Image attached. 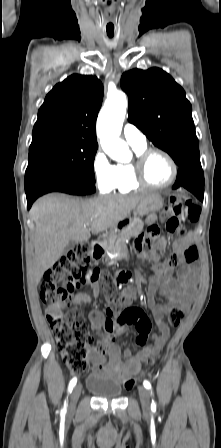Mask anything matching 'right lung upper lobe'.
I'll use <instances>...</instances> for the list:
<instances>
[{"label": "right lung upper lobe", "mask_w": 221, "mask_h": 448, "mask_svg": "<svg viewBox=\"0 0 221 448\" xmlns=\"http://www.w3.org/2000/svg\"><path fill=\"white\" fill-rule=\"evenodd\" d=\"M103 85L92 75L73 74L46 96L33 127L30 148L63 141L96 140Z\"/></svg>", "instance_id": "cb5924a9"}]
</instances>
